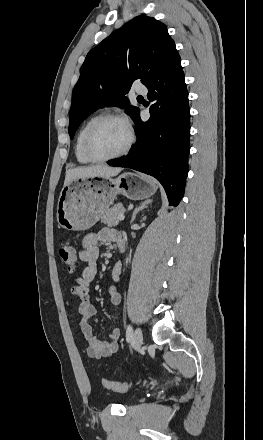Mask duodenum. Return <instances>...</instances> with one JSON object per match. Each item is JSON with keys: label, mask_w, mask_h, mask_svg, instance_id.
Instances as JSON below:
<instances>
[{"label": "duodenum", "mask_w": 263, "mask_h": 440, "mask_svg": "<svg viewBox=\"0 0 263 440\" xmlns=\"http://www.w3.org/2000/svg\"><path fill=\"white\" fill-rule=\"evenodd\" d=\"M123 247H124V244L121 243V244H120V249H121V251H123Z\"/></svg>", "instance_id": "duodenum-1"}]
</instances>
